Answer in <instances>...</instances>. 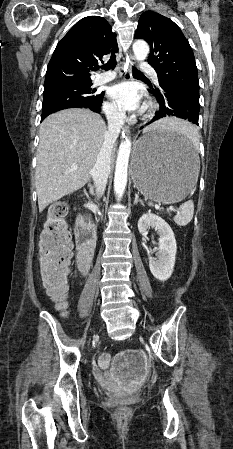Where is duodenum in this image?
<instances>
[{"mask_svg":"<svg viewBox=\"0 0 233 449\" xmlns=\"http://www.w3.org/2000/svg\"><path fill=\"white\" fill-rule=\"evenodd\" d=\"M78 266L80 271L88 274L96 248V238L92 229L82 219L77 226Z\"/></svg>","mask_w":233,"mask_h":449,"instance_id":"obj_1","label":"duodenum"}]
</instances>
